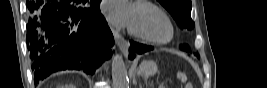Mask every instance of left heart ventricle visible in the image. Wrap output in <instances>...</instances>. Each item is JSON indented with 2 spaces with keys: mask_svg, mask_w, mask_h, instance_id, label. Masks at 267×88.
I'll return each instance as SVG.
<instances>
[{
  "mask_svg": "<svg viewBox=\"0 0 267 88\" xmlns=\"http://www.w3.org/2000/svg\"><path fill=\"white\" fill-rule=\"evenodd\" d=\"M130 27L153 39H165L170 34L167 22L156 12L144 7L133 8Z\"/></svg>",
  "mask_w": 267,
  "mask_h": 88,
  "instance_id": "1",
  "label": "left heart ventricle"
}]
</instances>
